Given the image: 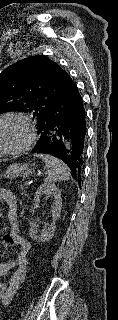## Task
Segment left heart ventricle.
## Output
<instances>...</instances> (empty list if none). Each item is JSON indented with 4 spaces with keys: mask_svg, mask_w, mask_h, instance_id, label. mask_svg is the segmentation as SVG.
I'll list each match as a JSON object with an SVG mask.
<instances>
[{
    "mask_svg": "<svg viewBox=\"0 0 118 320\" xmlns=\"http://www.w3.org/2000/svg\"><path fill=\"white\" fill-rule=\"evenodd\" d=\"M10 136L4 132V133H0V144H2L3 146H6V144L8 143Z\"/></svg>",
    "mask_w": 118,
    "mask_h": 320,
    "instance_id": "left-heart-ventricle-1",
    "label": "left heart ventricle"
}]
</instances>
